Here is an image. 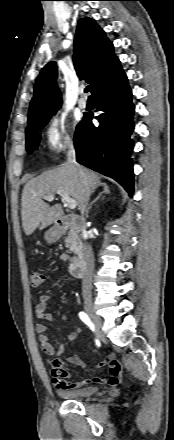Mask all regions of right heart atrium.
<instances>
[{"label":"right heart atrium","mask_w":174,"mask_h":440,"mask_svg":"<svg viewBox=\"0 0 174 440\" xmlns=\"http://www.w3.org/2000/svg\"><path fill=\"white\" fill-rule=\"evenodd\" d=\"M44 145L53 155L72 147L73 138L64 117L53 115L48 120L44 128Z\"/></svg>","instance_id":"right-heart-atrium-1"}]
</instances>
